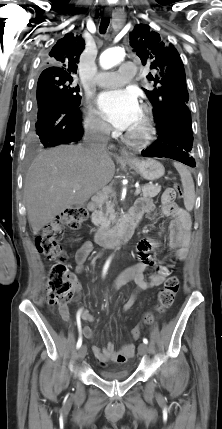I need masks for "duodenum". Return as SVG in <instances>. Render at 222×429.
<instances>
[{"label": "duodenum", "mask_w": 222, "mask_h": 429, "mask_svg": "<svg viewBox=\"0 0 222 429\" xmlns=\"http://www.w3.org/2000/svg\"><path fill=\"white\" fill-rule=\"evenodd\" d=\"M87 208L90 212L95 213L97 211V204L95 202H90L87 205ZM141 217V212L133 211L132 209L131 212L123 218L120 225L116 229L110 232L97 230L94 235L95 242L98 245L106 248L116 247L125 243L138 226Z\"/></svg>", "instance_id": "obj_1"}]
</instances>
